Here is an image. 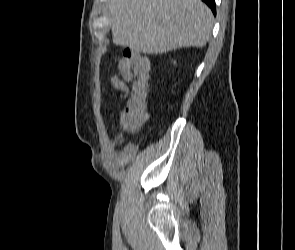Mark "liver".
Here are the masks:
<instances>
[{
    "mask_svg": "<svg viewBox=\"0 0 295 250\" xmlns=\"http://www.w3.org/2000/svg\"><path fill=\"white\" fill-rule=\"evenodd\" d=\"M109 10L113 42L145 54L203 47L213 27L201 0H110Z\"/></svg>",
    "mask_w": 295,
    "mask_h": 250,
    "instance_id": "obj_1",
    "label": "liver"
}]
</instances>
